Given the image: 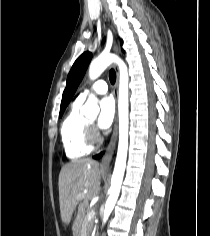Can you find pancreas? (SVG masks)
<instances>
[{
  "instance_id": "1",
  "label": "pancreas",
  "mask_w": 210,
  "mask_h": 236,
  "mask_svg": "<svg viewBox=\"0 0 210 236\" xmlns=\"http://www.w3.org/2000/svg\"><path fill=\"white\" fill-rule=\"evenodd\" d=\"M91 212H94V209L89 211L88 214L84 217L82 230H81V233H83V234H85L89 230L91 224L93 223V221L88 218V216L91 214ZM79 236H86V235H79Z\"/></svg>"
}]
</instances>
